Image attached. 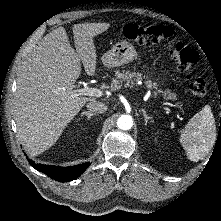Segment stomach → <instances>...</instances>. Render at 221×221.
<instances>
[{
  "label": "stomach",
  "mask_w": 221,
  "mask_h": 221,
  "mask_svg": "<svg viewBox=\"0 0 221 221\" xmlns=\"http://www.w3.org/2000/svg\"><path fill=\"white\" fill-rule=\"evenodd\" d=\"M137 57L138 53L134 46L128 41H122L116 43L109 51L104 53L101 60L106 67L113 68L131 62ZM153 86L156 87L157 82L153 83Z\"/></svg>",
  "instance_id": "0dacf381"
}]
</instances>
